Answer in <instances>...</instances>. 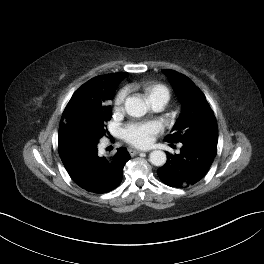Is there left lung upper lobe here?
Listing matches in <instances>:
<instances>
[{
    "instance_id": "1",
    "label": "left lung upper lobe",
    "mask_w": 264,
    "mask_h": 264,
    "mask_svg": "<svg viewBox=\"0 0 264 264\" xmlns=\"http://www.w3.org/2000/svg\"><path fill=\"white\" fill-rule=\"evenodd\" d=\"M182 104L172 134L165 137L169 143L205 141L217 145L218 127L215 116L204 96L195 84L184 75L163 70Z\"/></svg>"
}]
</instances>
